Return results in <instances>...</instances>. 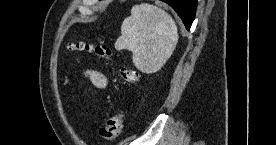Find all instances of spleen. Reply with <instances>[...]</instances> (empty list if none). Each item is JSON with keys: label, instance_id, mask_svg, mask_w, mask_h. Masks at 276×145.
I'll list each match as a JSON object with an SVG mask.
<instances>
[{"label": "spleen", "instance_id": "3e777b00", "mask_svg": "<svg viewBox=\"0 0 276 145\" xmlns=\"http://www.w3.org/2000/svg\"><path fill=\"white\" fill-rule=\"evenodd\" d=\"M178 38L176 23L168 13L142 3L133 6L131 16L123 21L115 48L131 51L136 68L150 74L164 66L173 54Z\"/></svg>", "mask_w": 276, "mask_h": 145}]
</instances>
